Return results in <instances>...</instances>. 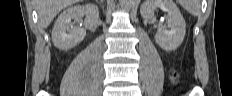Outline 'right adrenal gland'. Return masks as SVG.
I'll return each mask as SVG.
<instances>
[{"label": "right adrenal gland", "instance_id": "1", "mask_svg": "<svg viewBox=\"0 0 232 96\" xmlns=\"http://www.w3.org/2000/svg\"><path fill=\"white\" fill-rule=\"evenodd\" d=\"M100 2V5L102 6L103 0H96ZM103 7V6H102Z\"/></svg>", "mask_w": 232, "mask_h": 96}]
</instances>
